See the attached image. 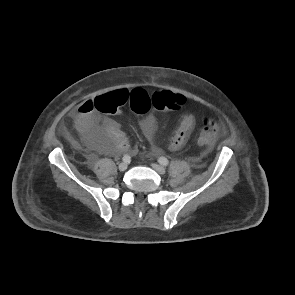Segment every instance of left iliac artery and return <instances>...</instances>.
I'll return each mask as SVG.
<instances>
[{
	"label": "left iliac artery",
	"instance_id": "left-iliac-artery-1",
	"mask_svg": "<svg viewBox=\"0 0 295 295\" xmlns=\"http://www.w3.org/2000/svg\"><path fill=\"white\" fill-rule=\"evenodd\" d=\"M158 162H159L161 165H163V166H167L168 163H169L168 159L165 158V157H160V158L158 159Z\"/></svg>",
	"mask_w": 295,
	"mask_h": 295
}]
</instances>
